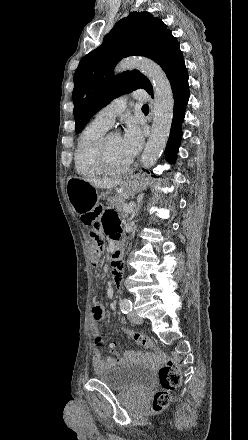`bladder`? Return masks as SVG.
<instances>
[{
  "mask_svg": "<svg viewBox=\"0 0 248 440\" xmlns=\"http://www.w3.org/2000/svg\"><path fill=\"white\" fill-rule=\"evenodd\" d=\"M96 377L113 390L144 391L152 385L154 374L145 366L119 364L97 372Z\"/></svg>",
  "mask_w": 248,
  "mask_h": 440,
  "instance_id": "1",
  "label": "bladder"
}]
</instances>
